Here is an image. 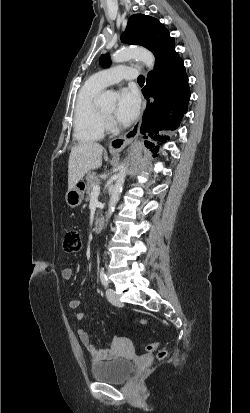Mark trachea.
<instances>
[{
    "instance_id": "3493384b",
    "label": "trachea",
    "mask_w": 250,
    "mask_h": 413,
    "mask_svg": "<svg viewBox=\"0 0 250 413\" xmlns=\"http://www.w3.org/2000/svg\"><path fill=\"white\" fill-rule=\"evenodd\" d=\"M138 83H144L145 82V77L143 76V75H140L139 77H138Z\"/></svg>"
}]
</instances>
